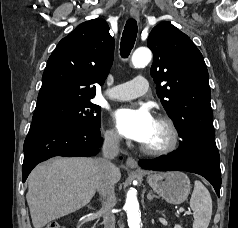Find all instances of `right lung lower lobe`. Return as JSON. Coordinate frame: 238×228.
Masks as SVG:
<instances>
[{
  "label": "right lung lower lobe",
  "mask_w": 238,
  "mask_h": 228,
  "mask_svg": "<svg viewBox=\"0 0 238 228\" xmlns=\"http://www.w3.org/2000/svg\"><path fill=\"white\" fill-rule=\"evenodd\" d=\"M99 129L64 122H32L24 142L22 181L38 163L51 157L96 155L103 140Z\"/></svg>",
  "instance_id": "right-lung-lower-lobe-1"
}]
</instances>
